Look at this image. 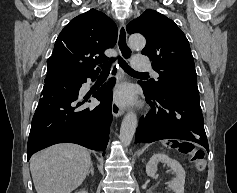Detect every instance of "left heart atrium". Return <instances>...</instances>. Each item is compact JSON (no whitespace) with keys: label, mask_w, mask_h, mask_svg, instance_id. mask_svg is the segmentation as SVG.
Returning <instances> with one entry per match:
<instances>
[{"label":"left heart atrium","mask_w":237,"mask_h":193,"mask_svg":"<svg viewBox=\"0 0 237 193\" xmlns=\"http://www.w3.org/2000/svg\"><path fill=\"white\" fill-rule=\"evenodd\" d=\"M114 97L119 104L127 105L133 101V91L128 86H122L115 91Z\"/></svg>","instance_id":"39dd6f15"}]
</instances>
